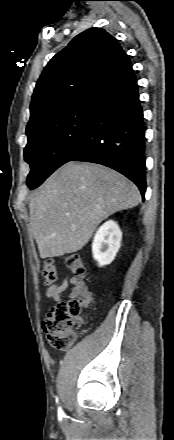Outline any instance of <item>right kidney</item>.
Here are the masks:
<instances>
[{
	"instance_id": "right-kidney-1",
	"label": "right kidney",
	"mask_w": 174,
	"mask_h": 440,
	"mask_svg": "<svg viewBox=\"0 0 174 440\" xmlns=\"http://www.w3.org/2000/svg\"><path fill=\"white\" fill-rule=\"evenodd\" d=\"M122 232L115 221L105 222L97 230L93 243V258L99 266L110 264L121 246Z\"/></svg>"
}]
</instances>
